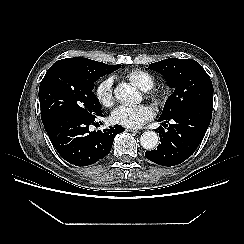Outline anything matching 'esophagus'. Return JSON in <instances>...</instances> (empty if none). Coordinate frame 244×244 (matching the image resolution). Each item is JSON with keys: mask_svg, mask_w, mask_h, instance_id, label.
Returning a JSON list of instances; mask_svg holds the SVG:
<instances>
[{"mask_svg": "<svg viewBox=\"0 0 244 244\" xmlns=\"http://www.w3.org/2000/svg\"><path fill=\"white\" fill-rule=\"evenodd\" d=\"M126 131H128V132H133V133H139V131H138V130L129 129V128H127V129H126Z\"/></svg>", "mask_w": 244, "mask_h": 244, "instance_id": "obj_1", "label": "esophagus"}]
</instances>
